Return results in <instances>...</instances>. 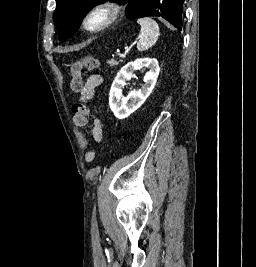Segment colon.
<instances>
[{
	"mask_svg": "<svg viewBox=\"0 0 256 267\" xmlns=\"http://www.w3.org/2000/svg\"><path fill=\"white\" fill-rule=\"evenodd\" d=\"M98 60L92 56H86L77 60H73L67 64V72L70 80V88L73 92L78 93L84 88L83 77L89 71H92L98 66ZM73 118L76 126L80 129L86 127L90 109L87 105L76 102L71 107ZM94 152L89 150L86 153L87 162H92Z\"/></svg>",
	"mask_w": 256,
	"mask_h": 267,
	"instance_id": "1",
	"label": "colon"
}]
</instances>
